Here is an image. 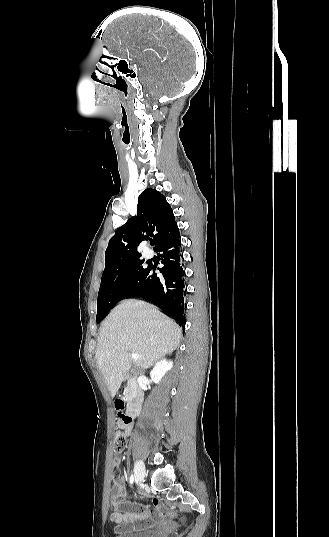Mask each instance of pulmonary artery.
<instances>
[{"label": "pulmonary artery", "mask_w": 329, "mask_h": 537, "mask_svg": "<svg viewBox=\"0 0 329 537\" xmlns=\"http://www.w3.org/2000/svg\"><path fill=\"white\" fill-rule=\"evenodd\" d=\"M145 255H146L147 257H150V256L152 255V253H151V251L147 250V251L145 252Z\"/></svg>", "instance_id": "1"}]
</instances>
